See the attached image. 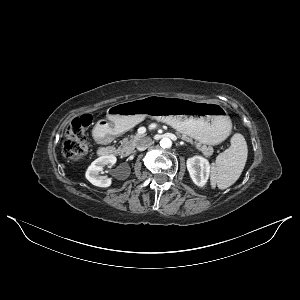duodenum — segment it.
Here are the masks:
<instances>
[{
    "instance_id": "obj_1",
    "label": "duodenum",
    "mask_w": 300,
    "mask_h": 300,
    "mask_svg": "<svg viewBox=\"0 0 300 300\" xmlns=\"http://www.w3.org/2000/svg\"><path fill=\"white\" fill-rule=\"evenodd\" d=\"M94 140L99 145L100 155L115 156L117 154V150L115 149V147L107 144L109 140V134L107 128L96 130L94 133Z\"/></svg>"
}]
</instances>
